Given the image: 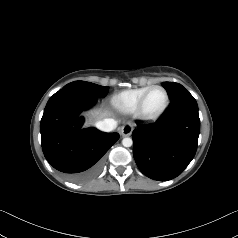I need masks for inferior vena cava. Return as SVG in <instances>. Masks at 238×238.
Wrapping results in <instances>:
<instances>
[{"mask_svg": "<svg viewBox=\"0 0 238 238\" xmlns=\"http://www.w3.org/2000/svg\"><path fill=\"white\" fill-rule=\"evenodd\" d=\"M117 126V122L114 119L107 118L102 121H98L96 123V127L104 132H109L115 129Z\"/></svg>", "mask_w": 238, "mask_h": 238, "instance_id": "obj_1", "label": "inferior vena cava"}]
</instances>
